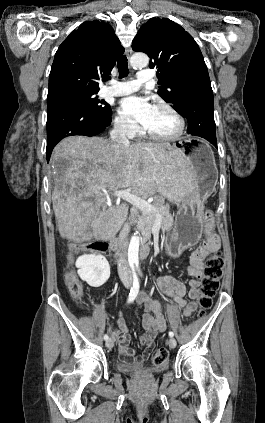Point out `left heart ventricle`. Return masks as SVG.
I'll list each match as a JSON object with an SVG mask.
<instances>
[{
	"instance_id": "left-heart-ventricle-1",
	"label": "left heart ventricle",
	"mask_w": 265,
	"mask_h": 423,
	"mask_svg": "<svg viewBox=\"0 0 265 423\" xmlns=\"http://www.w3.org/2000/svg\"><path fill=\"white\" fill-rule=\"evenodd\" d=\"M144 127L156 134L171 135L179 127L177 119L167 110L154 107L153 112Z\"/></svg>"
}]
</instances>
